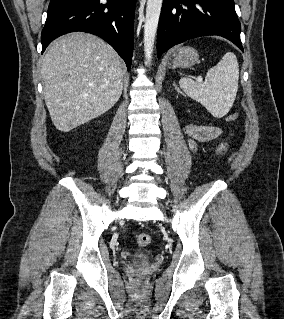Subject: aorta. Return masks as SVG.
Masks as SVG:
<instances>
[{"label":"aorta","instance_id":"762f6f07","mask_svg":"<svg viewBox=\"0 0 284 319\" xmlns=\"http://www.w3.org/2000/svg\"><path fill=\"white\" fill-rule=\"evenodd\" d=\"M163 0H147L146 17L144 23V54L145 63L151 64L154 42Z\"/></svg>","mask_w":284,"mask_h":319}]
</instances>
